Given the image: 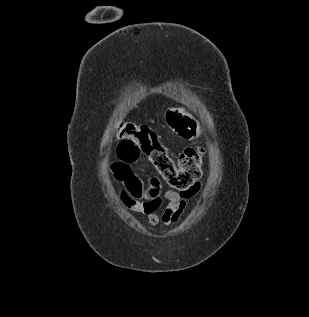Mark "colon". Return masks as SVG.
I'll use <instances>...</instances> for the list:
<instances>
[{
    "instance_id": "1",
    "label": "colon",
    "mask_w": 309,
    "mask_h": 317,
    "mask_svg": "<svg viewBox=\"0 0 309 317\" xmlns=\"http://www.w3.org/2000/svg\"><path fill=\"white\" fill-rule=\"evenodd\" d=\"M170 127L180 136L192 137L196 133L194 120L179 109L167 112ZM121 139L118 148H129L124 157L136 162L142 155L150 158L166 183L179 192L190 190L202 176L204 151L200 147H187L173 160L159 141L158 135L147 125L123 123L118 128Z\"/></svg>"
}]
</instances>
